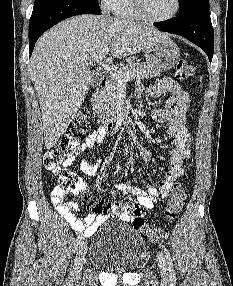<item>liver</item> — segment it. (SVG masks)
Here are the masks:
<instances>
[{
  "label": "liver",
  "instance_id": "liver-1",
  "mask_svg": "<svg viewBox=\"0 0 233 286\" xmlns=\"http://www.w3.org/2000/svg\"><path fill=\"white\" fill-rule=\"evenodd\" d=\"M152 27L107 15H78L45 32L36 43L29 73L37 91L45 147L52 148L81 107L93 74L88 66L102 49L115 58L146 51L167 38Z\"/></svg>",
  "mask_w": 233,
  "mask_h": 286
}]
</instances>
